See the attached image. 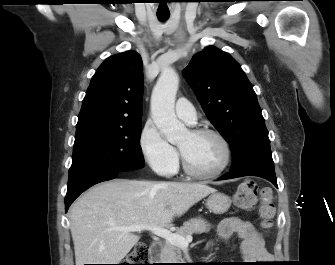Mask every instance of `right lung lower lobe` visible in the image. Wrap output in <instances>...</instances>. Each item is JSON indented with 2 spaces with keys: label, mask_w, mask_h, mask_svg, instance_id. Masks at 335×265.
Segmentation results:
<instances>
[{
  "label": "right lung lower lobe",
  "mask_w": 335,
  "mask_h": 265,
  "mask_svg": "<svg viewBox=\"0 0 335 265\" xmlns=\"http://www.w3.org/2000/svg\"><path fill=\"white\" fill-rule=\"evenodd\" d=\"M121 172L123 171L99 168L88 170L69 179L65 197V211H68L69 206L83 191L96 183L113 179Z\"/></svg>",
  "instance_id": "98d812e1"
}]
</instances>
